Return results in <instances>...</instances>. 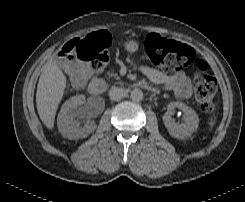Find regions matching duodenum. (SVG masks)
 I'll use <instances>...</instances> for the list:
<instances>
[{
  "instance_id": "obj_1",
  "label": "duodenum",
  "mask_w": 245,
  "mask_h": 202,
  "mask_svg": "<svg viewBox=\"0 0 245 202\" xmlns=\"http://www.w3.org/2000/svg\"><path fill=\"white\" fill-rule=\"evenodd\" d=\"M134 87L141 88L153 93L157 92L156 88H154L152 85H150L147 82H137L136 84H134ZM105 89H106L105 82L99 78H94L90 80L88 83V91L92 96L100 95L105 91Z\"/></svg>"
}]
</instances>
